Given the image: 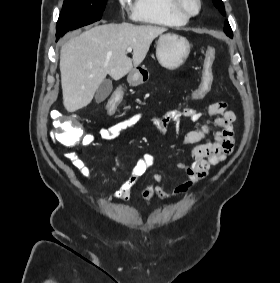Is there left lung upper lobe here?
Here are the masks:
<instances>
[{
	"label": "left lung upper lobe",
	"mask_w": 280,
	"mask_h": 283,
	"mask_svg": "<svg viewBox=\"0 0 280 283\" xmlns=\"http://www.w3.org/2000/svg\"><path fill=\"white\" fill-rule=\"evenodd\" d=\"M213 3L215 5L216 8L219 9V11L225 15V9H224V4L222 2V0H213ZM224 31L225 33L228 35V36H232V30H231V27L228 23V21H225V25H224Z\"/></svg>",
	"instance_id": "1"
}]
</instances>
